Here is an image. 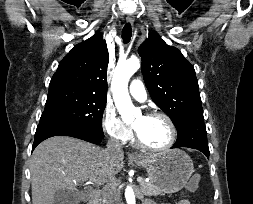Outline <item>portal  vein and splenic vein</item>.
I'll return each mask as SVG.
<instances>
[{
	"mask_svg": "<svg viewBox=\"0 0 253 204\" xmlns=\"http://www.w3.org/2000/svg\"><path fill=\"white\" fill-rule=\"evenodd\" d=\"M137 181H138L139 183H142L144 180H143L142 177H138ZM87 183L94 184V185H100V184H102L98 179H91V180H89V182H87Z\"/></svg>",
	"mask_w": 253,
	"mask_h": 204,
	"instance_id": "obj_1",
	"label": "portal vein and splenic vein"
}]
</instances>
